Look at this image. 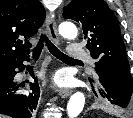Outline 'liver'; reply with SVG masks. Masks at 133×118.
I'll return each mask as SVG.
<instances>
[{"label": "liver", "mask_w": 133, "mask_h": 118, "mask_svg": "<svg viewBox=\"0 0 133 118\" xmlns=\"http://www.w3.org/2000/svg\"><path fill=\"white\" fill-rule=\"evenodd\" d=\"M0 118H6L5 116H3V115H0Z\"/></svg>", "instance_id": "obj_1"}]
</instances>
